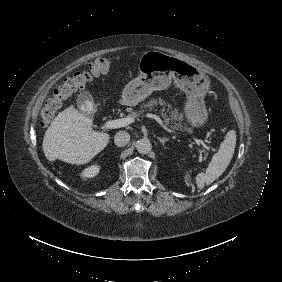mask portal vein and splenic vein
<instances>
[{"label": "portal vein and splenic vein", "instance_id": "obj_1", "mask_svg": "<svg viewBox=\"0 0 282 282\" xmlns=\"http://www.w3.org/2000/svg\"><path fill=\"white\" fill-rule=\"evenodd\" d=\"M147 117H149L151 119L152 122H156L159 123L160 125H162V127L171 132L170 129L167 128V124L164 123L162 118H159L158 116L154 117L153 113H149L146 115ZM134 122V117L132 116H128L127 118H122V119H116V120H110L107 121L102 128L104 129H116V128H120V127H125L128 126L129 124ZM208 141V140H207ZM207 141L204 140H200L198 138H195L193 140V143L196 144L197 147H201L204 146L205 149H207L210 152L211 156L215 155V147L211 144H209Z\"/></svg>", "mask_w": 282, "mask_h": 282}]
</instances>
